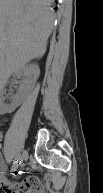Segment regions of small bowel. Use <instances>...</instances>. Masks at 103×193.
Returning <instances> with one entry per match:
<instances>
[{"label":"small bowel","instance_id":"obj_1","mask_svg":"<svg viewBox=\"0 0 103 193\" xmlns=\"http://www.w3.org/2000/svg\"><path fill=\"white\" fill-rule=\"evenodd\" d=\"M0 168V183L3 193H20V191H18L19 187H24L26 193H47L46 186L35 176L27 177L21 184L11 185L6 176V164L2 162Z\"/></svg>","mask_w":103,"mask_h":193}]
</instances>
